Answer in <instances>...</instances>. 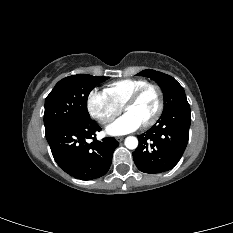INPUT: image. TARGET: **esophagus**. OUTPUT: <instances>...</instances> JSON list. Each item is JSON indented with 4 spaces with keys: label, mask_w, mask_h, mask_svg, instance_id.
Here are the masks:
<instances>
[{
    "label": "esophagus",
    "mask_w": 233,
    "mask_h": 233,
    "mask_svg": "<svg viewBox=\"0 0 233 233\" xmlns=\"http://www.w3.org/2000/svg\"><path fill=\"white\" fill-rule=\"evenodd\" d=\"M123 139H124V137H122V136L116 138V140H117L118 142L123 141Z\"/></svg>",
    "instance_id": "34e87169"
}]
</instances>
